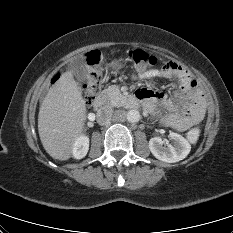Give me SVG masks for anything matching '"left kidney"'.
<instances>
[{"label":"left kidney","mask_w":233,"mask_h":233,"mask_svg":"<svg viewBox=\"0 0 233 233\" xmlns=\"http://www.w3.org/2000/svg\"><path fill=\"white\" fill-rule=\"evenodd\" d=\"M172 144L164 142L159 137L151 138L149 141V149L151 153L158 159L166 163H175L183 160L190 152L191 145L180 134L170 132ZM165 144V146H163Z\"/></svg>","instance_id":"1"}]
</instances>
